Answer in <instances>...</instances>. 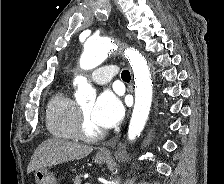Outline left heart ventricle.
Segmentation results:
<instances>
[{
  "label": "left heart ventricle",
  "mask_w": 224,
  "mask_h": 184,
  "mask_svg": "<svg viewBox=\"0 0 224 184\" xmlns=\"http://www.w3.org/2000/svg\"><path fill=\"white\" fill-rule=\"evenodd\" d=\"M92 107H93V104L92 103H89V104H86L84 106H82V110L87 118V121L89 123V126L91 127V129H100V127H98L91 119V110H92Z\"/></svg>",
  "instance_id": "left-heart-ventricle-1"
}]
</instances>
